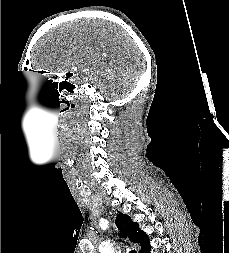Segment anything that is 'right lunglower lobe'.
Listing matches in <instances>:
<instances>
[{
	"mask_svg": "<svg viewBox=\"0 0 229 253\" xmlns=\"http://www.w3.org/2000/svg\"><path fill=\"white\" fill-rule=\"evenodd\" d=\"M151 247L150 244L143 250L141 253H150Z\"/></svg>",
	"mask_w": 229,
	"mask_h": 253,
	"instance_id": "obj_1",
	"label": "right lung lower lobe"
}]
</instances>
